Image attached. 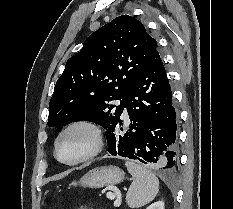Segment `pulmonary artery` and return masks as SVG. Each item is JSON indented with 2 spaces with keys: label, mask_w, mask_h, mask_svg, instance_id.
Returning <instances> with one entry per match:
<instances>
[{
  "label": "pulmonary artery",
  "mask_w": 233,
  "mask_h": 209,
  "mask_svg": "<svg viewBox=\"0 0 233 209\" xmlns=\"http://www.w3.org/2000/svg\"><path fill=\"white\" fill-rule=\"evenodd\" d=\"M124 117H127V112L126 111L124 112Z\"/></svg>",
  "instance_id": "1"
}]
</instances>
